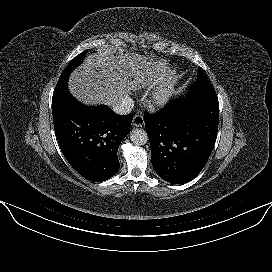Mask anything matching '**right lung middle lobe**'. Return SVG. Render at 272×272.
Wrapping results in <instances>:
<instances>
[{
  "label": "right lung middle lobe",
  "mask_w": 272,
  "mask_h": 272,
  "mask_svg": "<svg viewBox=\"0 0 272 272\" xmlns=\"http://www.w3.org/2000/svg\"><path fill=\"white\" fill-rule=\"evenodd\" d=\"M86 52L87 51H84L81 54H79L78 56H76L75 58H73L70 61V63L67 65V67L64 69V71L62 72V74L59 78V81L56 85V88L54 90L53 98L57 97L59 94H61L62 92L66 91L68 89L67 88L68 77H69L70 73L73 71V69H75V67H77L79 64L82 63Z\"/></svg>",
  "instance_id": "right-lung-middle-lobe-1"
}]
</instances>
